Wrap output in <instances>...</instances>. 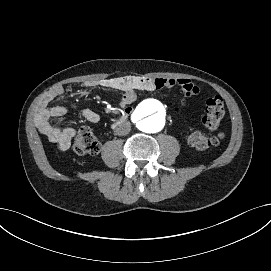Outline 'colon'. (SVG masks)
<instances>
[{
  "instance_id": "colon-1",
  "label": "colon",
  "mask_w": 271,
  "mask_h": 271,
  "mask_svg": "<svg viewBox=\"0 0 271 271\" xmlns=\"http://www.w3.org/2000/svg\"><path fill=\"white\" fill-rule=\"evenodd\" d=\"M224 113L225 108L222 98L218 95L208 97L203 117L204 126L209 131H215L224 117ZM223 136L221 132L204 134L194 131L187 136L186 140L191 147L197 150H205L218 145ZM73 149L79 155L97 154L100 150V143L96 133L86 126L79 128L73 143Z\"/></svg>"
}]
</instances>
